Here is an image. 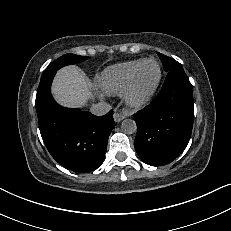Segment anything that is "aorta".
Segmentation results:
<instances>
[{"label": "aorta", "mask_w": 231, "mask_h": 231, "mask_svg": "<svg viewBox=\"0 0 231 231\" xmlns=\"http://www.w3.org/2000/svg\"><path fill=\"white\" fill-rule=\"evenodd\" d=\"M121 130L125 134H133L137 130L136 122L133 119H125L121 123Z\"/></svg>", "instance_id": "aorta-1"}]
</instances>
